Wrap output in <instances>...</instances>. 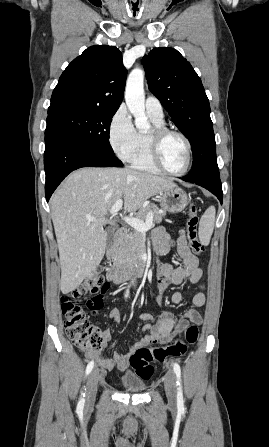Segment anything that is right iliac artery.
Here are the masks:
<instances>
[{"label":"right iliac artery","instance_id":"obj_1","mask_svg":"<svg viewBox=\"0 0 269 447\" xmlns=\"http://www.w3.org/2000/svg\"><path fill=\"white\" fill-rule=\"evenodd\" d=\"M128 293H129V290H127L126 297L128 296ZM93 367H94V362L91 361V362L87 365V368H86V375H88V374L92 371ZM84 397H85V393L82 392V393H81V396H80L79 403H78V408L83 409V407H84V403H85V399H84Z\"/></svg>","mask_w":269,"mask_h":447}]
</instances>
